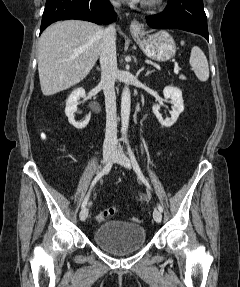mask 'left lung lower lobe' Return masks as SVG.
Listing matches in <instances>:
<instances>
[{"label": "left lung lower lobe", "mask_w": 240, "mask_h": 287, "mask_svg": "<svg viewBox=\"0 0 240 287\" xmlns=\"http://www.w3.org/2000/svg\"><path fill=\"white\" fill-rule=\"evenodd\" d=\"M155 29H181L200 34L209 41L203 0H170L165 10L146 17Z\"/></svg>", "instance_id": "obj_1"}]
</instances>
